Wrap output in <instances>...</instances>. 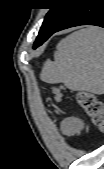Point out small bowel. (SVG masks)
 <instances>
[{"label": "small bowel", "instance_id": "obj_1", "mask_svg": "<svg viewBox=\"0 0 104 169\" xmlns=\"http://www.w3.org/2000/svg\"><path fill=\"white\" fill-rule=\"evenodd\" d=\"M83 129V122L75 117L67 118L63 121L62 130L67 136H74Z\"/></svg>", "mask_w": 104, "mask_h": 169}]
</instances>
